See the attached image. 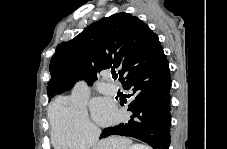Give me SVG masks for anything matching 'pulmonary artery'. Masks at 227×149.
<instances>
[{"label": "pulmonary artery", "instance_id": "obj_1", "mask_svg": "<svg viewBox=\"0 0 227 149\" xmlns=\"http://www.w3.org/2000/svg\"><path fill=\"white\" fill-rule=\"evenodd\" d=\"M105 78H106L107 80H109L108 77H105ZM104 88H105L106 91H108V92L116 93V88H115V86H114L113 84H111V83L106 84V85L104 86Z\"/></svg>", "mask_w": 227, "mask_h": 149}]
</instances>
